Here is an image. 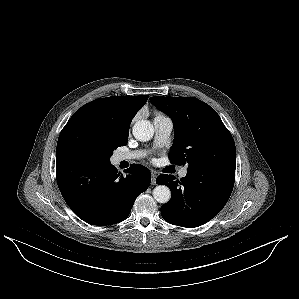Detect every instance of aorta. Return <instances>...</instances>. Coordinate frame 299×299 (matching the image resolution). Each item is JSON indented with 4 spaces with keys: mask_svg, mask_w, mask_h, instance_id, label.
Returning <instances> with one entry per match:
<instances>
[{
    "mask_svg": "<svg viewBox=\"0 0 299 299\" xmlns=\"http://www.w3.org/2000/svg\"><path fill=\"white\" fill-rule=\"evenodd\" d=\"M132 129L134 137L143 142L149 141L154 134V127L148 120L137 121ZM153 197L158 203L165 204L171 198V191L165 185H158L153 189Z\"/></svg>",
    "mask_w": 299,
    "mask_h": 299,
    "instance_id": "1",
    "label": "aorta"
}]
</instances>
